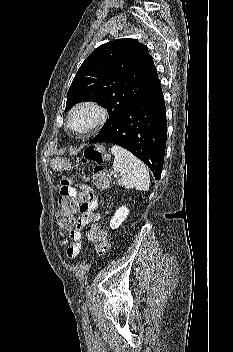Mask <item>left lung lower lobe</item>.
Here are the masks:
<instances>
[{
	"label": "left lung lower lobe",
	"mask_w": 233,
	"mask_h": 352,
	"mask_svg": "<svg viewBox=\"0 0 233 352\" xmlns=\"http://www.w3.org/2000/svg\"><path fill=\"white\" fill-rule=\"evenodd\" d=\"M166 108L160 82L142 99L131 104L106 131L89 143H113L146 163L159 180L166 147Z\"/></svg>",
	"instance_id": "1"
}]
</instances>
